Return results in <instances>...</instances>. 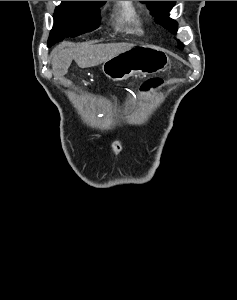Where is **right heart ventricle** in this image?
<instances>
[{
  "label": "right heart ventricle",
  "mask_w": 237,
  "mask_h": 300,
  "mask_svg": "<svg viewBox=\"0 0 237 300\" xmlns=\"http://www.w3.org/2000/svg\"><path fill=\"white\" fill-rule=\"evenodd\" d=\"M115 21L120 26L138 25L140 9L134 1H115Z\"/></svg>",
  "instance_id": "1"
}]
</instances>
